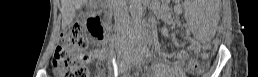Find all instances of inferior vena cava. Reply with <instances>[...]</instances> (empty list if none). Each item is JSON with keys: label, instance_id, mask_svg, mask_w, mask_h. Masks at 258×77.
Listing matches in <instances>:
<instances>
[{"label": "inferior vena cava", "instance_id": "1", "mask_svg": "<svg viewBox=\"0 0 258 77\" xmlns=\"http://www.w3.org/2000/svg\"><path fill=\"white\" fill-rule=\"evenodd\" d=\"M125 2V0H115L114 15L118 23H123L129 17Z\"/></svg>", "mask_w": 258, "mask_h": 77}]
</instances>
